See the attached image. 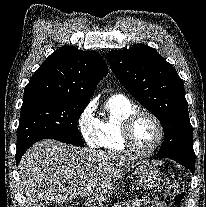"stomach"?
Returning <instances> with one entry per match:
<instances>
[{
  "label": "stomach",
  "instance_id": "obj_1",
  "mask_svg": "<svg viewBox=\"0 0 206 207\" xmlns=\"http://www.w3.org/2000/svg\"><path fill=\"white\" fill-rule=\"evenodd\" d=\"M135 180L139 187L153 189L161 181V173L156 166L149 161H138L134 167ZM113 188L108 190L107 196L113 193Z\"/></svg>",
  "mask_w": 206,
  "mask_h": 207
}]
</instances>
